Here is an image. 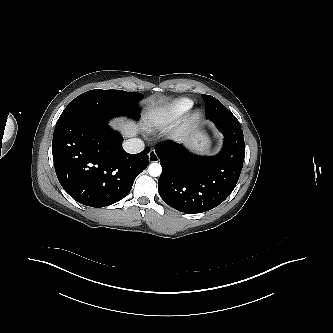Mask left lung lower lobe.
<instances>
[{"label": "left lung lower lobe", "mask_w": 333, "mask_h": 333, "mask_svg": "<svg viewBox=\"0 0 333 333\" xmlns=\"http://www.w3.org/2000/svg\"><path fill=\"white\" fill-rule=\"evenodd\" d=\"M224 135L216 156H198L175 142L156 146L162 173L158 181L161 198L184 213H201L221 204L239 179L245 156L240 123L213 121Z\"/></svg>", "instance_id": "0a47b994"}]
</instances>
